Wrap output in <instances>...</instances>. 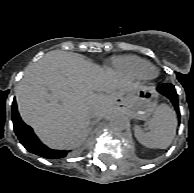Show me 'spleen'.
<instances>
[{
	"label": "spleen",
	"instance_id": "obj_1",
	"mask_svg": "<svg viewBox=\"0 0 194 193\" xmlns=\"http://www.w3.org/2000/svg\"><path fill=\"white\" fill-rule=\"evenodd\" d=\"M177 119L171 108L165 104L155 108L152 118L148 122L150 131L144 132L139 126L135 127L137 140L148 148H167L176 133Z\"/></svg>",
	"mask_w": 194,
	"mask_h": 193
}]
</instances>
